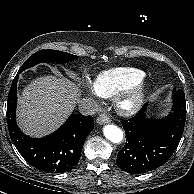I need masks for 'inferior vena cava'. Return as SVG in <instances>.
Returning a JSON list of instances; mask_svg holds the SVG:
<instances>
[{
	"label": "inferior vena cava",
	"instance_id": "602c4592",
	"mask_svg": "<svg viewBox=\"0 0 194 194\" xmlns=\"http://www.w3.org/2000/svg\"><path fill=\"white\" fill-rule=\"evenodd\" d=\"M79 111L83 115H94L97 112V104L92 98H84L79 103Z\"/></svg>",
	"mask_w": 194,
	"mask_h": 194
}]
</instances>
